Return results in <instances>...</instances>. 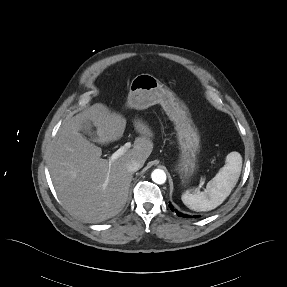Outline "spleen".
<instances>
[{
  "label": "spleen",
  "instance_id": "1",
  "mask_svg": "<svg viewBox=\"0 0 287 287\" xmlns=\"http://www.w3.org/2000/svg\"><path fill=\"white\" fill-rule=\"evenodd\" d=\"M226 164L219 170L213 179L206 186L204 192L191 194L186 191L181 197L182 202L189 209L200 212L210 211L223 203L230 195L238 182L241 169L242 157L240 153L234 151L226 156Z\"/></svg>",
  "mask_w": 287,
  "mask_h": 287
}]
</instances>
